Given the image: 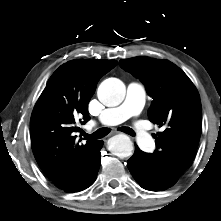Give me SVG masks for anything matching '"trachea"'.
<instances>
[{"label":"trachea","mask_w":221,"mask_h":221,"mask_svg":"<svg viewBox=\"0 0 221 221\" xmlns=\"http://www.w3.org/2000/svg\"><path fill=\"white\" fill-rule=\"evenodd\" d=\"M119 131H122L124 133H127L131 136H134V131L129 128V127H121L118 129ZM110 133V129L109 128H100L98 129L96 132H94L93 134H87V133H83V136L86 139H101L103 137H105L106 135H108Z\"/></svg>","instance_id":"trachea-1"}]
</instances>
